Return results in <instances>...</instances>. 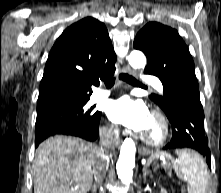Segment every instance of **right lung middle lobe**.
I'll return each mask as SVG.
<instances>
[{"instance_id":"dd1d6c3e","label":"right lung middle lobe","mask_w":221,"mask_h":193,"mask_svg":"<svg viewBox=\"0 0 221 193\" xmlns=\"http://www.w3.org/2000/svg\"><path fill=\"white\" fill-rule=\"evenodd\" d=\"M88 101L61 99L37 104L35 137L55 134L66 128L88 130L96 126L101 113L86 107Z\"/></svg>"}]
</instances>
